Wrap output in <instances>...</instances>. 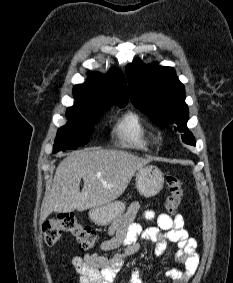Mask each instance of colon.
<instances>
[{
	"mask_svg": "<svg viewBox=\"0 0 233 283\" xmlns=\"http://www.w3.org/2000/svg\"><path fill=\"white\" fill-rule=\"evenodd\" d=\"M165 182L168 188L165 207L170 214H173L181 203L183 195L182 182L173 175H167ZM42 231L47 245L55 244L64 234L72 236L83 250L93 248L98 241L96 231L79 222L72 214H62L57 218L47 220L43 224Z\"/></svg>",
	"mask_w": 233,
	"mask_h": 283,
	"instance_id": "1",
	"label": "colon"
}]
</instances>
